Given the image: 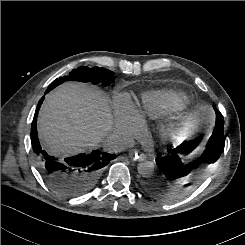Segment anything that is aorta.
Returning a JSON list of instances; mask_svg holds the SVG:
<instances>
[{
    "mask_svg": "<svg viewBox=\"0 0 245 245\" xmlns=\"http://www.w3.org/2000/svg\"><path fill=\"white\" fill-rule=\"evenodd\" d=\"M138 173L143 177H149L153 174L154 163L149 160L142 161L137 166Z\"/></svg>",
    "mask_w": 245,
    "mask_h": 245,
    "instance_id": "762f6f07",
    "label": "aorta"
}]
</instances>
